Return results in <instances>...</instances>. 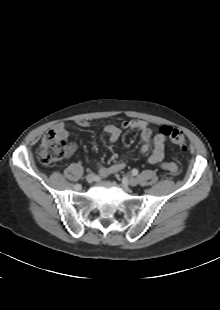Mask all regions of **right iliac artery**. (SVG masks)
Segmentation results:
<instances>
[{"label": "right iliac artery", "mask_w": 220, "mask_h": 310, "mask_svg": "<svg viewBox=\"0 0 220 310\" xmlns=\"http://www.w3.org/2000/svg\"><path fill=\"white\" fill-rule=\"evenodd\" d=\"M74 187H75L76 190H80L81 189V184H76Z\"/></svg>", "instance_id": "right-iliac-artery-1"}]
</instances>
